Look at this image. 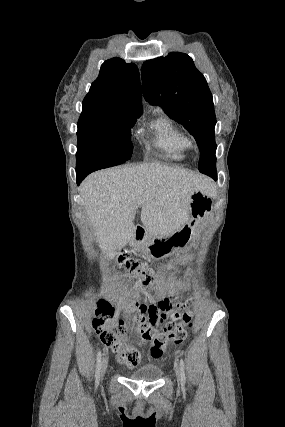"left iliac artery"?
Here are the masks:
<instances>
[{"mask_svg":"<svg viewBox=\"0 0 285 427\" xmlns=\"http://www.w3.org/2000/svg\"><path fill=\"white\" fill-rule=\"evenodd\" d=\"M179 365H180V371H181V384L184 385L186 383V377H185V372H184L185 364H184L183 359L180 360Z\"/></svg>","mask_w":285,"mask_h":427,"instance_id":"44dca946","label":"left iliac artery"}]
</instances>
